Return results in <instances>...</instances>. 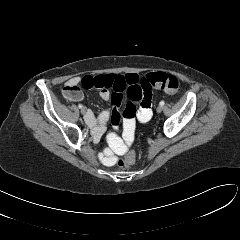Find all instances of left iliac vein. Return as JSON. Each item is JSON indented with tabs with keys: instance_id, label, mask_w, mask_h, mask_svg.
I'll use <instances>...</instances> for the list:
<instances>
[{
	"instance_id": "1",
	"label": "left iliac vein",
	"mask_w": 240,
	"mask_h": 240,
	"mask_svg": "<svg viewBox=\"0 0 240 240\" xmlns=\"http://www.w3.org/2000/svg\"><path fill=\"white\" fill-rule=\"evenodd\" d=\"M162 110H163L162 106H158L157 109H156L157 113H161Z\"/></svg>"
}]
</instances>
